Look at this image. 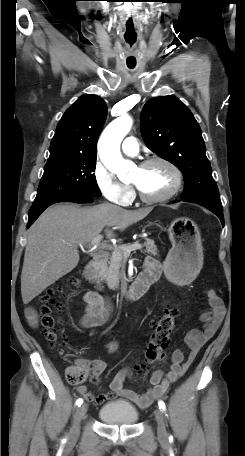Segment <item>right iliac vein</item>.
Segmentation results:
<instances>
[{"mask_svg":"<svg viewBox=\"0 0 245 456\" xmlns=\"http://www.w3.org/2000/svg\"><path fill=\"white\" fill-rule=\"evenodd\" d=\"M88 409L87 404L79 406L75 412L74 422L70 431V437L72 440H75L79 436L80 432V422Z\"/></svg>","mask_w":245,"mask_h":456,"instance_id":"obj_1","label":"right iliac vein"}]
</instances>
